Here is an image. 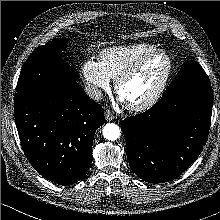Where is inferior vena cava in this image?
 <instances>
[{"label": "inferior vena cava", "instance_id": "inferior-vena-cava-1", "mask_svg": "<svg viewBox=\"0 0 220 220\" xmlns=\"http://www.w3.org/2000/svg\"><path fill=\"white\" fill-rule=\"evenodd\" d=\"M84 90L86 94L93 100H101L103 98L101 90L95 86L86 85Z\"/></svg>", "mask_w": 220, "mask_h": 220}]
</instances>
